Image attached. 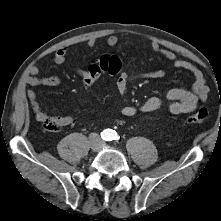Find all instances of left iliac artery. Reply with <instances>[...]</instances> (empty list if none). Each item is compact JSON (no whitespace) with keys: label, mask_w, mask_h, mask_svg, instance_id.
<instances>
[{"label":"left iliac artery","mask_w":221,"mask_h":221,"mask_svg":"<svg viewBox=\"0 0 221 221\" xmlns=\"http://www.w3.org/2000/svg\"><path fill=\"white\" fill-rule=\"evenodd\" d=\"M119 138H120V136H118L116 131H112L111 134H110L109 141H111V140H119Z\"/></svg>","instance_id":"44dca946"}]
</instances>
